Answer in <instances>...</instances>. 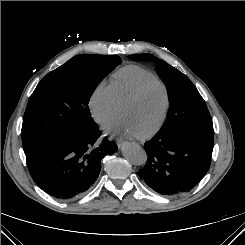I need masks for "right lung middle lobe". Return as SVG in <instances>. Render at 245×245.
<instances>
[{"mask_svg":"<svg viewBox=\"0 0 245 245\" xmlns=\"http://www.w3.org/2000/svg\"><path fill=\"white\" fill-rule=\"evenodd\" d=\"M121 58L81 54L48 73L32 93L22 124L25 154L68 136H82L96 123L88 103L98 83Z\"/></svg>","mask_w":245,"mask_h":245,"instance_id":"dd1d6c3e","label":"right lung middle lobe"}]
</instances>
